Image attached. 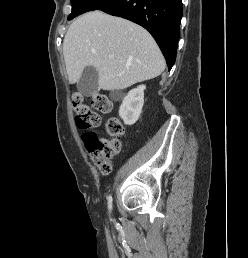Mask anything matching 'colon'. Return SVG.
Returning a JSON list of instances; mask_svg holds the SVG:
<instances>
[{"label":"colon","instance_id":"colon-1","mask_svg":"<svg viewBox=\"0 0 248 258\" xmlns=\"http://www.w3.org/2000/svg\"><path fill=\"white\" fill-rule=\"evenodd\" d=\"M92 107L103 114H111L113 103L104 95L94 93L91 96ZM72 108L76 113V123L84 129L95 128L100 124V116L90 109L79 93L72 95ZM106 130L110 138L98 137L94 132L88 131L83 135V141L94 161L103 174L111 171L110 159L121 151V139L125 134L122 123L115 117H110L106 123Z\"/></svg>","mask_w":248,"mask_h":258}]
</instances>
